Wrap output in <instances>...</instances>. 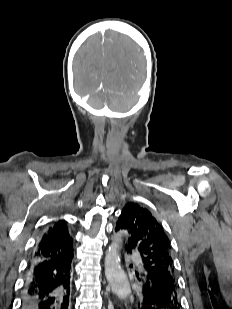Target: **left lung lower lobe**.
Segmentation results:
<instances>
[{
	"instance_id": "0a47b994",
	"label": "left lung lower lobe",
	"mask_w": 232,
	"mask_h": 309,
	"mask_svg": "<svg viewBox=\"0 0 232 309\" xmlns=\"http://www.w3.org/2000/svg\"><path fill=\"white\" fill-rule=\"evenodd\" d=\"M124 252L130 254L131 249L125 244ZM142 286V302L139 309H180V302H175L165 285L150 273H137Z\"/></svg>"
}]
</instances>
